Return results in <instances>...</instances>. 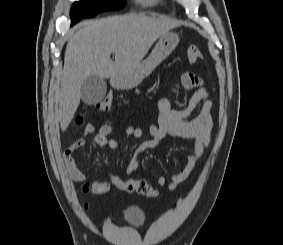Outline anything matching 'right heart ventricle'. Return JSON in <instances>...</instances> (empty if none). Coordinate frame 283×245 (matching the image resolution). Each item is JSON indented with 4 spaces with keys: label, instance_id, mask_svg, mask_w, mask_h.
Returning <instances> with one entry per match:
<instances>
[{
    "label": "right heart ventricle",
    "instance_id": "1",
    "mask_svg": "<svg viewBox=\"0 0 283 245\" xmlns=\"http://www.w3.org/2000/svg\"><path fill=\"white\" fill-rule=\"evenodd\" d=\"M139 4L143 6H154L156 5L160 0H136Z\"/></svg>",
    "mask_w": 283,
    "mask_h": 245
}]
</instances>
